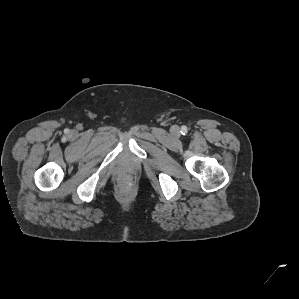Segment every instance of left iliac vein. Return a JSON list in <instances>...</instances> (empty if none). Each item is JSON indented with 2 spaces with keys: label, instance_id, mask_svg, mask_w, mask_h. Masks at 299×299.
Wrapping results in <instances>:
<instances>
[{
  "label": "left iliac vein",
  "instance_id": "4c4485c4",
  "mask_svg": "<svg viewBox=\"0 0 299 299\" xmlns=\"http://www.w3.org/2000/svg\"><path fill=\"white\" fill-rule=\"evenodd\" d=\"M173 133L175 134L179 133V128L177 126L173 127Z\"/></svg>",
  "mask_w": 299,
  "mask_h": 299
}]
</instances>
